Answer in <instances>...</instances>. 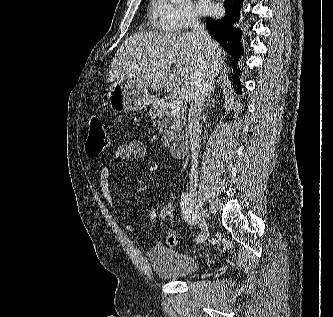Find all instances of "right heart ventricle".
I'll return each mask as SVG.
<instances>
[{
    "label": "right heart ventricle",
    "mask_w": 333,
    "mask_h": 317,
    "mask_svg": "<svg viewBox=\"0 0 333 317\" xmlns=\"http://www.w3.org/2000/svg\"><path fill=\"white\" fill-rule=\"evenodd\" d=\"M153 13H154V4H153Z\"/></svg>",
    "instance_id": "obj_1"
}]
</instances>
